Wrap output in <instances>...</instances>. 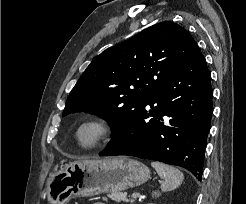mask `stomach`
<instances>
[{
	"label": "stomach",
	"mask_w": 246,
	"mask_h": 204,
	"mask_svg": "<svg viewBox=\"0 0 246 204\" xmlns=\"http://www.w3.org/2000/svg\"><path fill=\"white\" fill-rule=\"evenodd\" d=\"M149 178L150 170L145 164L127 157L76 161L50 173L45 194L50 204H67L75 197L133 188Z\"/></svg>",
	"instance_id": "0dacf381"
}]
</instances>
